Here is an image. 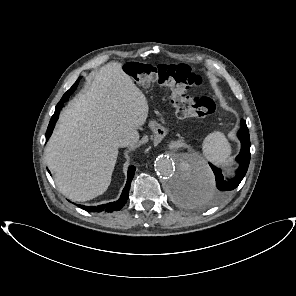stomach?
Returning <instances> with one entry per match:
<instances>
[{"label": "stomach", "mask_w": 296, "mask_h": 296, "mask_svg": "<svg viewBox=\"0 0 296 296\" xmlns=\"http://www.w3.org/2000/svg\"><path fill=\"white\" fill-rule=\"evenodd\" d=\"M151 128L154 127L152 131V143L155 146H160L163 143V140L166 139L168 132L165 127L158 125L155 122H151L150 124Z\"/></svg>", "instance_id": "1"}]
</instances>
